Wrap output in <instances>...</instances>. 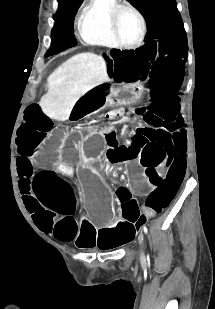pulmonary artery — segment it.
<instances>
[{"instance_id": "e3ab8cb5", "label": "pulmonary artery", "mask_w": 215, "mask_h": 309, "mask_svg": "<svg viewBox=\"0 0 215 309\" xmlns=\"http://www.w3.org/2000/svg\"><path fill=\"white\" fill-rule=\"evenodd\" d=\"M93 9V16H106V11L109 8H114V1L111 0H96L91 3Z\"/></svg>"}]
</instances>
